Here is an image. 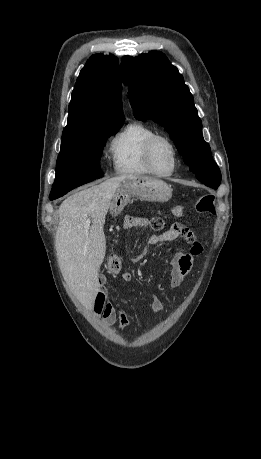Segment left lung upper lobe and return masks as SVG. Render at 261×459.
I'll return each instance as SVG.
<instances>
[{
	"mask_svg": "<svg viewBox=\"0 0 261 459\" xmlns=\"http://www.w3.org/2000/svg\"><path fill=\"white\" fill-rule=\"evenodd\" d=\"M121 77L138 120L153 119L170 134L190 171L204 184L220 185L221 173L202 135V122L182 75L158 51L125 56Z\"/></svg>",
	"mask_w": 261,
	"mask_h": 459,
	"instance_id": "left-lung-upper-lobe-1",
	"label": "left lung upper lobe"
}]
</instances>
